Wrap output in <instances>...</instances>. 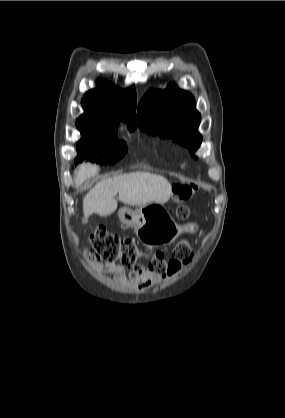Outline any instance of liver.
Wrapping results in <instances>:
<instances>
[{"label": "liver", "mask_w": 285, "mask_h": 418, "mask_svg": "<svg viewBox=\"0 0 285 418\" xmlns=\"http://www.w3.org/2000/svg\"><path fill=\"white\" fill-rule=\"evenodd\" d=\"M99 167L94 164H81L75 170L74 183L78 188L88 178L95 176ZM127 205L144 206L149 203L167 202L172 189L163 176L149 172H131L98 182L83 198L85 217L95 213L108 216L117 209L116 194Z\"/></svg>", "instance_id": "6515ba94"}]
</instances>
